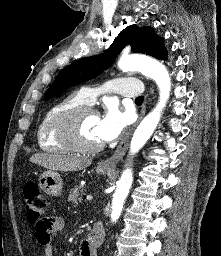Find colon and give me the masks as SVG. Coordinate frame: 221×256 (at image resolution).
I'll list each match as a JSON object with an SVG mask.
<instances>
[{"instance_id":"obj_1","label":"colon","mask_w":221,"mask_h":256,"mask_svg":"<svg viewBox=\"0 0 221 256\" xmlns=\"http://www.w3.org/2000/svg\"><path fill=\"white\" fill-rule=\"evenodd\" d=\"M23 194L28 220L39 228L43 227L45 219L42 216L47 204L38 185L35 182L26 183Z\"/></svg>"}]
</instances>
